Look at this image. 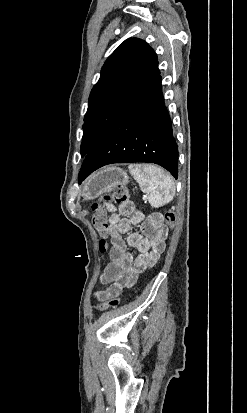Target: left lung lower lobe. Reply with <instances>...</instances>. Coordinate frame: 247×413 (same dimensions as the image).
Returning <instances> with one entry per match:
<instances>
[{
  "label": "left lung lower lobe",
  "instance_id": "0a47b994",
  "mask_svg": "<svg viewBox=\"0 0 247 413\" xmlns=\"http://www.w3.org/2000/svg\"><path fill=\"white\" fill-rule=\"evenodd\" d=\"M131 162L156 163L178 177V148L160 73L87 153L78 181L104 165Z\"/></svg>",
  "mask_w": 247,
  "mask_h": 413
}]
</instances>
